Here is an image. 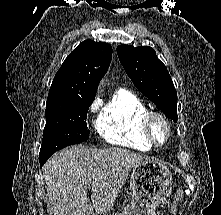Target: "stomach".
<instances>
[{"instance_id": "obj_1", "label": "stomach", "mask_w": 221, "mask_h": 215, "mask_svg": "<svg viewBox=\"0 0 221 215\" xmlns=\"http://www.w3.org/2000/svg\"><path fill=\"white\" fill-rule=\"evenodd\" d=\"M129 183L132 201L113 215H155L171 193L172 175L164 164L149 160L132 168Z\"/></svg>"}]
</instances>
